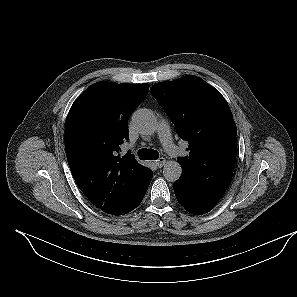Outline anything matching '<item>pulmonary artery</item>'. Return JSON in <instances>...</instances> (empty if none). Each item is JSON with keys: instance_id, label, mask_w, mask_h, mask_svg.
Returning a JSON list of instances; mask_svg holds the SVG:
<instances>
[{"instance_id": "1", "label": "pulmonary artery", "mask_w": 297, "mask_h": 297, "mask_svg": "<svg viewBox=\"0 0 297 297\" xmlns=\"http://www.w3.org/2000/svg\"><path fill=\"white\" fill-rule=\"evenodd\" d=\"M157 132L161 143L171 155L177 156L182 153V150L172 142L170 127L166 120L161 119L159 121Z\"/></svg>"}]
</instances>
